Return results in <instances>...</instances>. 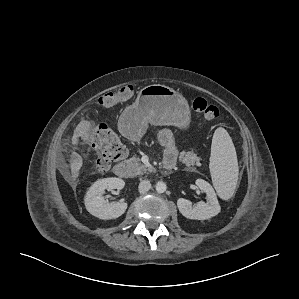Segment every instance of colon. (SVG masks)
Masks as SVG:
<instances>
[{
    "label": "colon",
    "mask_w": 299,
    "mask_h": 299,
    "mask_svg": "<svg viewBox=\"0 0 299 299\" xmlns=\"http://www.w3.org/2000/svg\"><path fill=\"white\" fill-rule=\"evenodd\" d=\"M132 95L133 87L124 86L115 92L103 94L99 98V103L104 107L110 108L129 100ZM192 108L209 121L218 119L220 115L219 109L204 98H195L192 102ZM84 141L99 151L96 168L102 172L109 170L115 162L122 159L127 153L126 148L115 133L104 123L93 127L84 137Z\"/></svg>",
    "instance_id": "colon-1"
}]
</instances>
